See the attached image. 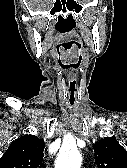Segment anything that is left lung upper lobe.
Listing matches in <instances>:
<instances>
[{
    "label": "left lung upper lobe",
    "instance_id": "left-lung-upper-lobe-1",
    "mask_svg": "<svg viewBox=\"0 0 127 168\" xmlns=\"http://www.w3.org/2000/svg\"><path fill=\"white\" fill-rule=\"evenodd\" d=\"M98 168H127V151L113 137H105L93 146Z\"/></svg>",
    "mask_w": 127,
    "mask_h": 168
}]
</instances>
